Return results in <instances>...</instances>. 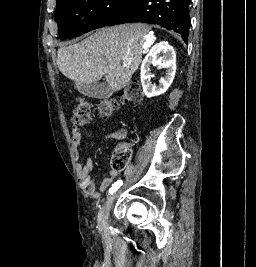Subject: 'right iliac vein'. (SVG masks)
<instances>
[{"mask_svg":"<svg viewBox=\"0 0 256 267\" xmlns=\"http://www.w3.org/2000/svg\"><path fill=\"white\" fill-rule=\"evenodd\" d=\"M115 194L111 195L106 202L104 203L103 207L99 211L98 215V225L100 228H105L107 220L109 218L111 207L115 201Z\"/></svg>","mask_w":256,"mask_h":267,"instance_id":"right-iliac-vein-1","label":"right iliac vein"}]
</instances>
